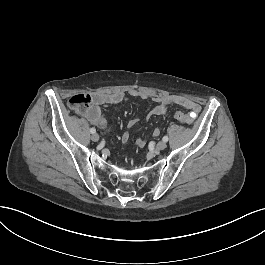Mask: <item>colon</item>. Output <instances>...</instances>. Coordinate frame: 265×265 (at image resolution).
Masks as SVG:
<instances>
[{"mask_svg": "<svg viewBox=\"0 0 265 265\" xmlns=\"http://www.w3.org/2000/svg\"><path fill=\"white\" fill-rule=\"evenodd\" d=\"M90 101H91L90 95L88 93L81 92L75 96L70 97L68 99L67 105L70 110L77 111L80 110L82 107L88 106L90 104ZM175 117L180 123L188 124L190 122V118L184 113L177 112L175 114ZM116 130H117L116 124L114 125L106 124L102 126L101 133L103 135H108L116 132Z\"/></svg>", "mask_w": 265, "mask_h": 265, "instance_id": "1", "label": "colon"}]
</instances>
